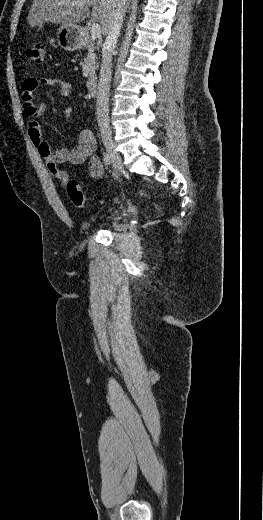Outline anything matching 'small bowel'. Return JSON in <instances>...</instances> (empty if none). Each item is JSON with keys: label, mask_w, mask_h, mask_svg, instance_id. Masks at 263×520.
I'll return each instance as SVG.
<instances>
[{"label": "small bowel", "mask_w": 263, "mask_h": 520, "mask_svg": "<svg viewBox=\"0 0 263 520\" xmlns=\"http://www.w3.org/2000/svg\"><path fill=\"white\" fill-rule=\"evenodd\" d=\"M41 85L55 87L63 95H69L72 90L70 83L60 79L28 78L23 81L22 101L24 113L29 118L28 135L39 155L45 161L51 174L63 183L69 179V174L58 168V165L63 163L80 165L87 162L91 178L98 180L103 175V163L95 155L97 140L92 130L85 129L81 131L74 147L60 148L54 151L51 150L48 142L43 138L41 125L37 119L44 114L46 108L44 104H38L34 100L35 91Z\"/></svg>", "instance_id": "small-bowel-1"}]
</instances>
